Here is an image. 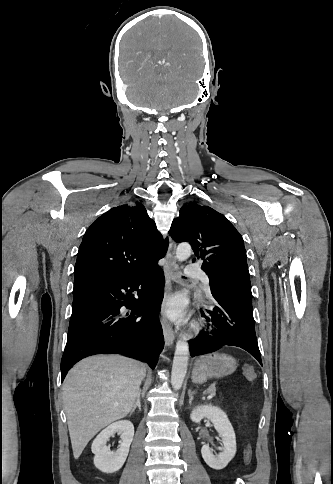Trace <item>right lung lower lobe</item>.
<instances>
[{"mask_svg": "<svg viewBox=\"0 0 333 484\" xmlns=\"http://www.w3.org/2000/svg\"><path fill=\"white\" fill-rule=\"evenodd\" d=\"M164 283L158 264L133 278L75 282L62 381L76 362L102 353L126 355L154 368L164 343L158 317Z\"/></svg>", "mask_w": 333, "mask_h": 484, "instance_id": "98d812e1", "label": "right lung lower lobe"}]
</instances>
